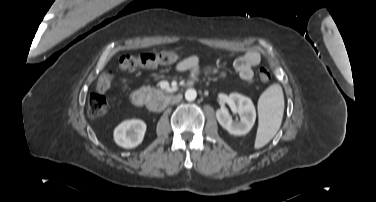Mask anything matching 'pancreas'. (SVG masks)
<instances>
[{
    "instance_id": "1",
    "label": "pancreas",
    "mask_w": 376,
    "mask_h": 202,
    "mask_svg": "<svg viewBox=\"0 0 376 202\" xmlns=\"http://www.w3.org/2000/svg\"><path fill=\"white\" fill-rule=\"evenodd\" d=\"M143 91L147 94L148 99H158L164 97V92L161 89L148 86L144 87Z\"/></svg>"
}]
</instances>
